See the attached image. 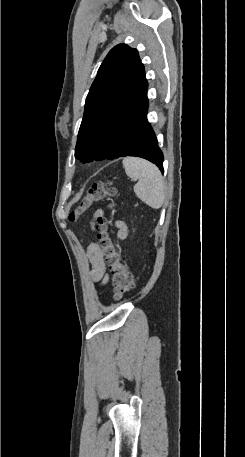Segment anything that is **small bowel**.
Wrapping results in <instances>:
<instances>
[{"instance_id": "small-bowel-1", "label": "small bowel", "mask_w": 245, "mask_h": 457, "mask_svg": "<svg viewBox=\"0 0 245 457\" xmlns=\"http://www.w3.org/2000/svg\"><path fill=\"white\" fill-rule=\"evenodd\" d=\"M102 210H97L94 214V218L92 221V226H94L95 220L103 216ZM115 226L118 229V238L124 239L127 235V226L122 221H116ZM87 255L91 263V271L90 275L91 278L95 282L105 283L108 279V274L106 272L105 263L103 260V256L101 254L100 248L96 243H89L87 248Z\"/></svg>"}]
</instances>
